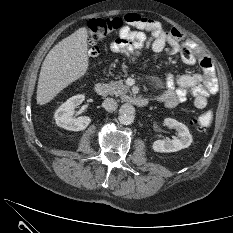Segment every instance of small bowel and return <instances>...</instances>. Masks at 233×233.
I'll return each mask as SVG.
<instances>
[{
  "label": "small bowel",
  "mask_w": 233,
  "mask_h": 233,
  "mask_svg": "<svg viewBox=\"0 0 233 233\" xmlns=\"http://www.w3.org/2000/svg\"><path fill=\"white\" fill-rule=\"evenodd\" d=\"M126 25L121 27L119 36L111 44V50L137 61L144 50L160 53L167 47L172 54L180 53L188 65L199 63L202 73L183 74L177 78L168 75L166 90L157 100L167 108H174L187 100V94L194 97L193 106L203 109L208 97L218 91V82L211 58L193 41L188 40L177 29H164L155 20L136 13L124 16Z\"/></svg>",
  "instance_id": "small-bowel-1"
}]
</instances>
